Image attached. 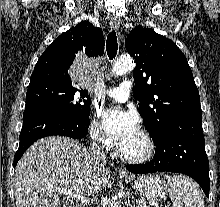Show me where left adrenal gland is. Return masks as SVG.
<instances>
[{
    "mask_svg": "<svg viewBox=\"0 0 220 207\" xmlns=\"http://www.w3.org/2000/svg\"><path fill=\"white\" fill-rule=\"evenodd\" d=\"M127 206H129V207H135L134 201H132V203H130V200H128Z\"/></svg>",
    "mask_w": 220,
    "mask_h": 207,
    "instance_id": "obj_1",
    "label": "left adrenal gland"
}]
</instances>
